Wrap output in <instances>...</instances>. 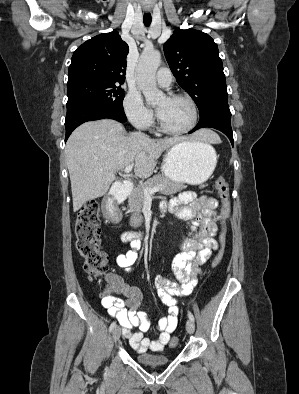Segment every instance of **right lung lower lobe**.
I'll list each match as a JSON object with an SVG mask.
<instances>
[{"label": "right lung lower lobe", "mask_w": 299, "mask_h": 394, "mask_svg": "<svg viewBox=\"0 0 299 394\" xmlns=\"http://www.w3.org/2000/svg\"><path fill=\"white\" fill-rule=\"evenodd\" d=\"M105 118L114 119L121 123L127 120L125 113H117L110 108L99 104L75 103L67 105L65 141L68 139L72 131L82 123Z\"/></svg>", "instance_id": "98d812e1"}]
</instances>
